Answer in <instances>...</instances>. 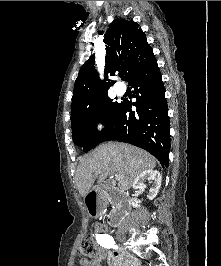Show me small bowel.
Listing matches in <instances>:
<instances>
[{
    "instance_id": "obj_1",
    "label": "small bowel",
    "mask_w": 221,
    "mask_h": 266,
    "mask_svg": "<svg viewBox=\"0 0 221 266\" xmlns=\"http://www.w3.org/2000/svg\"><path fill=\"white\" fill-rule=\"evenodd\" d=\"M100 235H101L100 233H96L95 237L97 238ZM104 248L101 245H98L96 258L92 261L81 260L80 266H101L102 262L105 259H108L110 266H139V264L135 259L125 258L120 253L109 252Z\"/></svg>"
}]
</instances>
